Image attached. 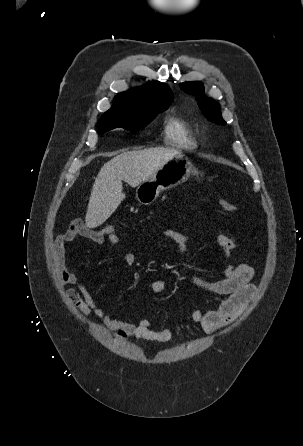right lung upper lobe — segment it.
<instances>
[{"instance_id": "obj_1", "label": "right lung upper lobe", "mask_w": 303, "mask_h": 446, "mask_svg": "<svg viewBox=\"0 0 303 446\" xmlns=\"http://www.w3.org/2000/svg\"><path fill=\"white\" fill-rule=\"evenodd\" d=\"M172 100V91L166 84L150 83L117 95L108 111L140 114L170 105Z\"/></svg>"}]
</instances>
